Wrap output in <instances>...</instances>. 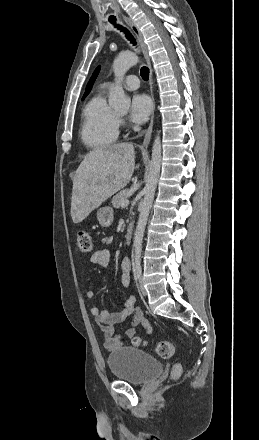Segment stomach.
I'll return each mask as SVG.
<instances>
[{
  "mask_svg": "<svg viewBox=\"0 0 259 440\" xmlns=\"http://www.w3.org/2000/svg\"><path fill=\"white\" fill-rule=\"evenodd\" d=\"M114 219L113 209L109 206L102 207L97 211V220L102 227H108Z\"/></svg>",
  "mask_w": 259,
  "mask_h": 440,
  "instance_id": "stomach-1",
  "label": "stomach"
}]
</instances>
